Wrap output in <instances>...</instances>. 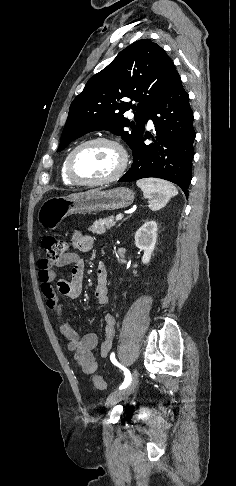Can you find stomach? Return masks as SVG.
I'll return each instance as SVG.
<instances>
[{
	"label": "stomach",
	"mask_w": 236,
	"mask_h": 486,
	"mask_svg": "<svg viewBox=\"0 0 236 486\" xmlns=\"http://www.w3.org/2000/svg\"><path fill=\"white\" fill-rule=\"evenodd\" d=\"M134 198V192L127 187L98 190L75 197H53L42 203L37 220L42 228L54 230L69 215L122 209L130 206Z\"/></svg>",
	"instance_id": "1"
}]
</instances>
